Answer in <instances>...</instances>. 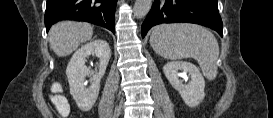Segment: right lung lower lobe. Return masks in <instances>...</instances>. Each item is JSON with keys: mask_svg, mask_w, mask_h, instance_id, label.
I'll use <instances>...</instances> for the list:
<instances>
[{"mask_svg": "<svg viewBox=\"0 0 273 118\" xmlns=\"http://www.w3.org/2000/svg\"><path fill=\"white\" fill-rule=\"evenodd\" d=\"M116 3L117 0H47V32L55 22L69 19L100 25L115 34Z\"/></svg>", "mask_w": 273, "mask_h": 118, "instance_id": "1", "label": "right lung lower lobe"}]
</instances>
